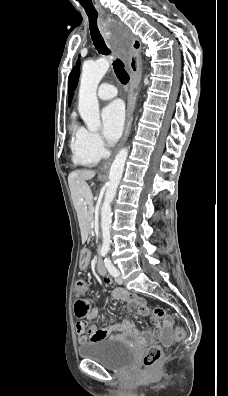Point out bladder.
Listing matches in <instances>:
<instances>
[{
	"label": "bladder",
	"mask_w": 228,
	"mask_h": 396,
	"mask_svg": "<svg viewBox=\"0 0 228 396\" xmlns=\"http://www.w3.org/2000/svg\"><path fill=\"white\" fill-rule=\"evenodd\" d=\"M79 356L92 360L110 370H124L134 360V351L125 341L106 339L82 345L78 349Z\"/></svg>",
	"instance_id": "1"
}]
</instances>
